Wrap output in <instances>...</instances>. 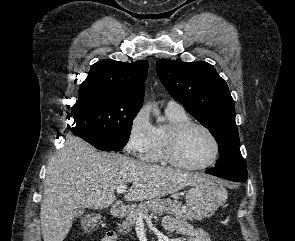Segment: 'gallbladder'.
<instances>
[{
    "label": "gallbladder",
    "instance_id": "1",
    "mask_svg": "<svg viewBox=\"0 0 295 241\" xmlns=\"http://www.w3.org/2000/svg\"><path fill=\"white\" fill-rule=\"evenodd\" d=\"M83 214V209H77L75 211V216H81Z\"/></svg>",
    "mask_w": 295,
    "mask_h": 241
}]
</instances>
